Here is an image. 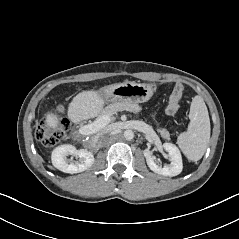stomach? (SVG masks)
I'll use <instances>...</instances> for the list:
<instances>
[{
	"instance_id": "stomach-1",
	"label": "stomach",
	"mask_w": 239,
	"mask_h": 239,
	"mask_svg": "<svg viewBox=\"0 0 239 239\" xmlns=\"http://www.w3.org/2000/svg\"><path fill=\"white\" fill-rule=\"evenodd\" d=\"M153 93L151 85L131 81L108 85L101 89V95L106 102L143 103L148 101Z\"/></svg>"
}]
</instances>
